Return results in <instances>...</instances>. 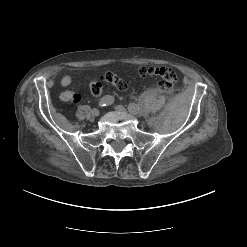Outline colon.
I'll return each instance as SVG.
<instances>
[{
    "label": "colon",
    "mask_w": 247,
    "mask_h": 247,
    "mask_svg": "<svg viewBox=\"0 0 247 247\" xmlns=\"http://www.w3.org/2000/svg\"><path fill=\"white\" fill-rule=\"evenodd\" d=\"M139 73L142 76L157 77L158 88L164 92H170L177 82L176 72L172 68L166 66H142L139 69ZM104 80L119 90H124L126 88V84L123 80L113 73H106L104 75ZM90 91L94 96L100 95L102 92V83L100 81H92L90 83Z\"/></svg>",
    "instance_id": "5ec220e1"
}]
</instances>
